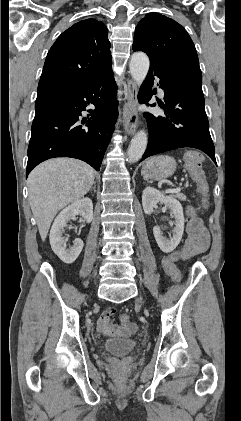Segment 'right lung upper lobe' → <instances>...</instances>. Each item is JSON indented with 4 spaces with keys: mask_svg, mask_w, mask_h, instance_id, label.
Listing matches in <instances>:
<instances>
[{
    "mask_svg": "<svg viewBox=\"0 0 241 421\" xmlns=\"http://www.w3.org/2000/svg\"><path fill=\"white\" fill-rule=\"evenodd\" d=\"M107 28L94 18L75 23L50 48L38 84V95L87 83L111 69Z\"/></svg>",
    "mask_w": 241,
    "mask_h": 421,
    "instance_id": "1",
    "label": "right lung upper lobe"
}]
</instances>
